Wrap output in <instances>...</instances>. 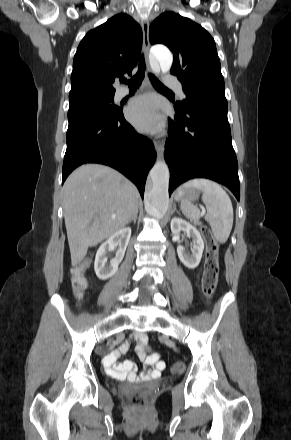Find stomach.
Returning a JSON list of instances; mask_svg holds the SVG:
<instances>
[{
  "mask_svg": "<svg viewBox=\"0 0 291 440\" xmlns=\"http://www.w3.org/2000/svg\"><path fill=\"white\" fill-rule=\"evenodd\" d=\"M199 196V191L194 188H182L180 189L176 196V200H185L191 203L192 201H195Z\"/></svg>",
  "mask_w": 291,
  "mask_h": 440,
  "instance_id": "stomach-1",
  "label": "stomach"
}]
</instances>
